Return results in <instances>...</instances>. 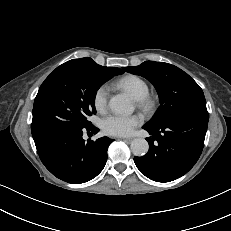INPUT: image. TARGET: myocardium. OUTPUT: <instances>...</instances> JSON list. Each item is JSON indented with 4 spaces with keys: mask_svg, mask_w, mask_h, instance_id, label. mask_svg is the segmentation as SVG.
I'll list each match as a JSON object with an SVG mask.
<instances>
[{
    "mask_svg": "<svg viewBox=\"0 0 231 231\" xmlns=\"http://www.w3.org/2000/svg\"><path fill=\"white\" fill-rule=\"evenodd\" d=\"M138 105L145 111L151 112L155 110L157 106V100L151 95H146L145 97L137 100Z\"/></svg>",
    "mask_w": 231,
    "mask_h": 231,
    "instance_id": "myocardium-1",
    "label": "myocardium"
}]
</instances>
